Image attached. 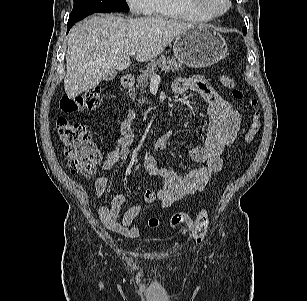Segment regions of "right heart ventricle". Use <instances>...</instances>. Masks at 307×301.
Listing matches in <instances>:
<instances>
[{
    "mask_svg": "<svg viewBox=\"0 0 307 301\" xmlns=\"http://www.w3.org/2000/svg\"><path fill=\"white\" fill-rule=\"evenodd\" d=\"M149 16L187 22H209L214 18L193 11L185 0H151Z\"/></svg>",
    "mask_w": 307,
    "mask_h": 301,
    "instance_id": "1",
    "label": "right heart ventricle"
}]
</instances>
